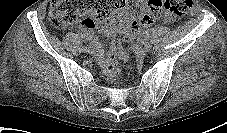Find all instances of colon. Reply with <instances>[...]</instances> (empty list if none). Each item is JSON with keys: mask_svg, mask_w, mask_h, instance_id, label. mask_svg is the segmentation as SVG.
Instances as JSON below:
<instances>
[{"mask_svg": "<svg viewBox=\"0 0 227 133\" xmlns=\"http://www.w3.org/2000/svg\"><path fill=\"white\" fill-rule=\"evenodd\" d=\"M125 3L126 0H51L49 20L56 29H65L74 24L81 29H92L95 21L88 14L101 22ZM192 4V0H148L144 6L137 0H129V6L135 19L132 30L112 41L110 56L103 67L105 78L109 81L116 79L119 73L117 58H128V54L124 50V43L128 44L141 28L152 25L164 14L173 18L183 16L191 9Z\"/></svg>", "mask_w": 227, "mask_h": 133, "instance_id": "obj_1", "label": "colon"}]
</instances>
